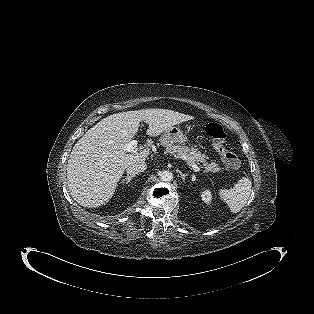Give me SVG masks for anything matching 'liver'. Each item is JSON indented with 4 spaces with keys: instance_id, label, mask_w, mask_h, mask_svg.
Segmentation results:
<instances>
[{
    "instance_id": "obj_1",
    "label": "liver",
    "mask_w": 314,
    "mask_h": 314,
    "mask_svg": "<svg viewBox=\"0 0 314 314\" xmlns=\"http://www.w3.org/2000/svg\"><path fill=\"white\" fill-rule=\"evenodd\" d=\"M194 117L167 109L120 112L100 120L74 145L67 164L68 187L83 207L107 203L124 170L144 161L150 151L128 153L124 147L137 134L140 122L148 124L147 135L157 137L171 127ZM152 142L147 141L150 145Z\"/></svg>"
}]
</instances>
